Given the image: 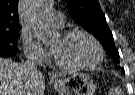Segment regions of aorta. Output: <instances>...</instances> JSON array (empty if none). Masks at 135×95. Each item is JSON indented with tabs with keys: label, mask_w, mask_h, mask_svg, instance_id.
<instances>
[{
	"label": "aorta",
	"mask_w": 135,
	"mask_h": 95,
	"mask_svg": "<svg viewBox=\"0 0 135 95\" xmlns=\"http://www.w3.org/2000/svg\"><path fill=\"white\" fill-rule=\"evenodd\" d=\"M52 8L51 0H33L30 7V25L36 38L48 43L57 38L56 31L50 28L47 14Z\"/></svg>",
	"instance_id": "aorta-1"
}]
</instances>
